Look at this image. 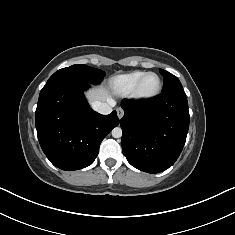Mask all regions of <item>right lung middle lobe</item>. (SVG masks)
Returning <instances> with one entry per match:
<instances>
[{
  "instance_id": "dd1d6c3e",
  "label": "right lung middle lobe",
  "mask_w": 235,
  "mask_h": 235,
  "mask_svg": "<svg viewBox=\"0 0 235 235\" xmlns=\"http://www.w3.org/2000/svg\"><path fill=\"white\" fill-rule=\"evenodd\" d=\"M104 75L105 73L102 70L77 64L58 70L49 78L48 82L61 79H77L89 84H99Z\"/></svg>"
}]
</instances>
